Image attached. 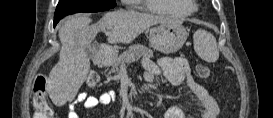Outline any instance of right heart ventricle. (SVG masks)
<instances>
[{"label":"right heart ventricle","mask_w":273,"mask_h":118,"mask_svg":"<svg viewBox=\"0 0 273 118\" xmlns=\"http://www.w3.org/2000/svg\"><path fill=\"white\" fill-rule=\"evenodd\" d=\"M150 10L171 16H188L193 11L187 0H146Z\"/></svg>","instance_id":"right-heart-ventricle-1"}]
</instances>
